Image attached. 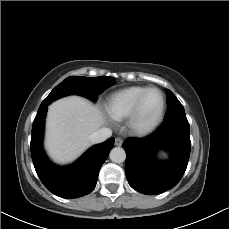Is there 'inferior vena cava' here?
Here are the masks:
<instances>
[{"instance_id": "602c4592", "label": "inferior vena cava", "mask_w": 229, "mask_h": 229, "mask_svg": "<svg viewBox=\"0 0 229 229\" xmlns=\"http://www.w3.org/2000/svg\"><path fill=\"white\" fill-rule=\"evenodd\" d=\"M112 130L109 128H100L89 136L90 142L96 144L104 142L106 139L111 137Z\"/></svg>"}]
</instances>
